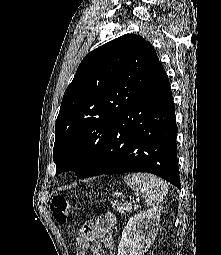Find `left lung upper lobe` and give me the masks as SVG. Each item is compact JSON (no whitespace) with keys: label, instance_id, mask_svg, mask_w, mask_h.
Listing matches in <instances>:
<instances>
[{"label":"left lung upper lobe","instance_id":"obj_1","mask_svg":"<svg viewBox=\"0 0 221 255\" xmlns=\"http://www.w3.org/2000/svg\"><path fill=\"white\" fill-rule=\"evenodd\" d=\"M153 46L126 34L90 52L65 91L56 120V173L81 178L107 143L117 118L160 76Z\"/></svg>","mask_w":221,"mask_h":255}]
</instances>
